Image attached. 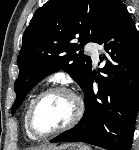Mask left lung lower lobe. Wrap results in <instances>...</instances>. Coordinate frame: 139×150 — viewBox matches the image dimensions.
Listing matches in <instances>:
<instances>
[{"label":"left lung lower lobe","mask_w":139,"mask_h":150,"mask_svg":"<svg viewBox=\"0 0 139 150\" xmlns=\"http://www.w3.org/2000/svg\"><path fill=\"white\" fill-rule=\"evenodd\" d=\"M103 46L98 92L90 74L80 123L50 142H84L107 150H130L139 109V37L125 5L117 0L97 41Z\"/></svg>","instance_id":"left-lung-lower-lobe-1"}]
</instances>
